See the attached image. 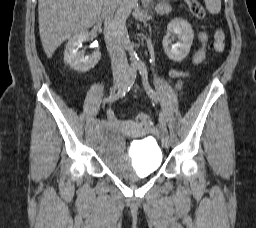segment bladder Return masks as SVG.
<instances>
[{
    "instance_id": "1",
    "label": "bladder",
    "mask_w": 256,
    "mask_h": 228,
    "mask_svg": "<svg viewBox=\"0 0 256 228\" xmlns=\"http://www.w3.org/2000/svg\"><path fill=\"white\" fill-rule=\"evenodd\" d=\"M91 148L106 167L121 179L132 180L157 172L163 162L162 151L153 139H142L131 145L130 154L124 153L123 134L113 126L96 130Z\"/></svg>"
}]
</instances>
